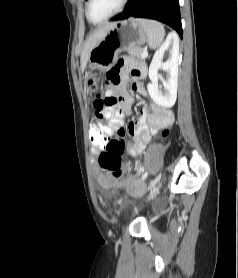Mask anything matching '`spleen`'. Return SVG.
I'll return each instance as SVG.
<instances>
[{
  "label": "spleen",
  "instance_id": "obj_1",
  "mask_svg": "<svg viewBox=\"0 0 238 278\" xmlns=\"http://www.w3.org/2000/svg\"><path fill=\"white\" fill-rule=\"evenodd\" d=\"M141 25L147 32V42L151 48H157L161 45L165 30L161 23L153 20L139 19Z\"/></svg>",
  "mask_w": 238,
  "mask_h": 278
}]
</instances>
